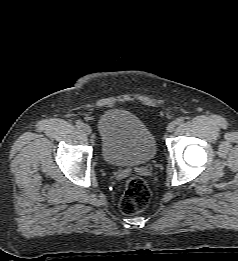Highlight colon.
<instances>
[{
    "label": "colon",
    "mask_w": 238,
    "mask_h": 261,
    "mask_svg": "<svg viewBox=\"0 0 238 261\" xmlns=\"http://www.w3.org/2000/svg\"><path fill=\"white\" fill-rule=\"evenodd\" d=\"M150 189L146 181L139 176H131L125 183V192L120 200V210L126 215L142 211L150 200Z\"/></svg>",
    "instance_id": "colon-1"
}]
</instances>
